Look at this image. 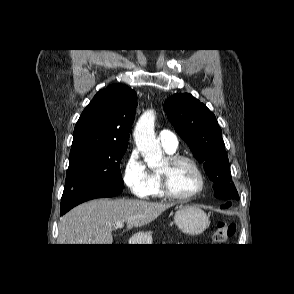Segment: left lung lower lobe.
<instances>
[{
	"label": "left lung lower lobe",
	"mask_w": 294,
	"mask_h": 294,
	"mask_svg": "<svg viewBox=\"0 0 294 294\" xmlns=\"http://www.w3.org/2000/svg\"><path fill=\"white\" fill-rule=\"evenodd\" d=\"M231 205L230 202L226 203L225 205H222L221 208H228Z\"/></svg>",
	"instance_id": "obj_1"
}]
</instances>
